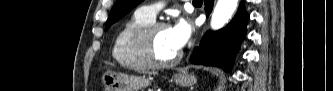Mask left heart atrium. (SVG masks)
Instances as JSON below:
<instances>
[{
    "label": "left heart atrium",
    "instance_id": "39dd6f15",
    "mask_svg": "<svg viewBox=\"0 0 333 91\" xmlns=\"http://www.w3.org/2000/svg\"><path fill=\"white\" fill-rule=\"evenodd\" d=\"M192 29V24L184 19L177 20V22L169 28L172 42L178 51H180L190 39Z\"/></svg>",
    "mask_w": 333,
    "mask_h": 91
}]
</instances>
